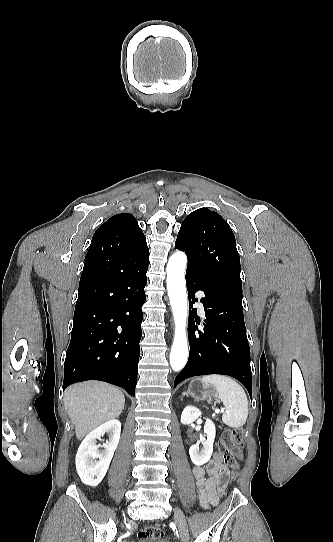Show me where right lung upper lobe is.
<instances>
[{
  "instance_id": "obj_1",
  "label": "right lung upper lobe",
  "mask_w": 333,
  "mask_h": 542,
  "mask_svg": "<svg viewBox=\"0 0 333 542\" xmlns=\"http://www.w3.org/2000/svg\"><path fill=\"white\" fill-rule=\"evenodd\" d=\"M146 238L135 217L128 213L112 216L94 233L88 252H107L125 246L145 245ZM83 271L82 274H85Z\"/></svg>"
}]
</instances>
